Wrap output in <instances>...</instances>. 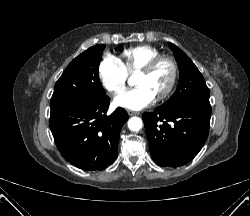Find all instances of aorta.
<instances>
[{
	"instance_id": "1",
	"label": "aorta",
	"mask_w": 250,
	"mask_h": 216,
	"mask_svg": "<svg viewBox=\"0 0 250 216\" xmlns=\"http://www.w3.org/2000/svg\"><path fill=\"white\" fill-rule=\"evenodd\" d=\"M143 126V121L139 117H131L128 120V128L133 132L139 131Z\"/></svg>"
}]
</instances>
